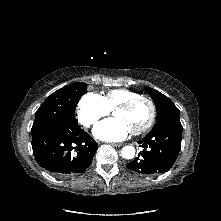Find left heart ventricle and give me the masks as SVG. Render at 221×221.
Segmentation results:
<instances>
[{
    "mask_svg": "<svg viewBox=\"0 0 221 221\" xmlns=\"http://www.w3.org/2000/svg\"><path fill=\"white\" fill-rule=\"evenodd\" d=\"M115 118L123 120L130 130L142 127L149 119L150 107L146 102H140L131 110H117L113 113Z\"/></svg>",
    "mask_w": 221,
    "mask_h": 221,
    "instance_id": "obj_1",
    "label": "left heart ventricle"
}]
</instances>
